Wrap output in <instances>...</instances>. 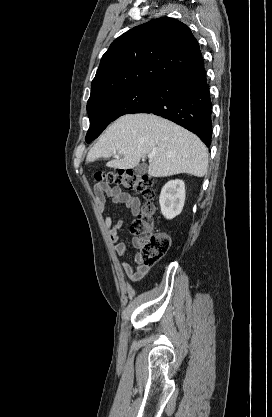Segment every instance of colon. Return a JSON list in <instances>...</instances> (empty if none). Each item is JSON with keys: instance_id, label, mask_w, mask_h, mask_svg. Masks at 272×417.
<instances>
[{"instance_id": "obj_1", "label": "colon", "mask_w": 272, "mask_h": 417, "mask_svg": "<svg viewBox=\"0 0 272 417\" xmlns=\"http://www.w3.org/2000/svg\"><path fill=\"white\" fill-rule=\"evenodd\" d=\"M95 179L133 190L147 200H151L155 196L152 179L130 170L98 172L95 174ZM155 213V205L148 201L131 226L132 233L139 238L141 263L146 266L157 263L166 254L171 243L170 237L166 233L153 232L156 223Z\"/></svg>"}]
</instances>
